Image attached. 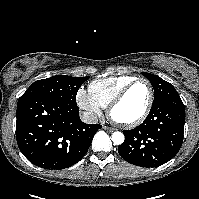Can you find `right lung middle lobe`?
<instances>
[{
	"instance_id": "obj_1",
	"label": "right lung middle lobe",
	"mask_w": 199,
	"mask_h": 199,
	"mask_svg": "<svg viewBox=\"0 0 199 199\" xmlns=\"http://www.w3.org/2000/svg\"><path fill=\"white\" fill-rule=\"evenodd\" d=\"M89 77H72L56 75L34 82L18 101H24L36 96L58 100L70 105L76 104V94L79 87Z\"/></svg>"
}]
</instances>
